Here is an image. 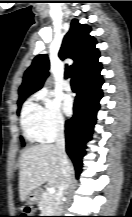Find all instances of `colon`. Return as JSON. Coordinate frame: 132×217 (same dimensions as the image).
I'll use <instances>...</instances> for the list:
<instances>
[{
  "instance_id": "1",
  "label": "colon",
  "mask_w": 132,
  "mask_h": 217,
  "mask_svg": "<svg viewBox=\"0 0 132 217\" xmlns=\"http://www.w3.org/2000/svg\"><path fill=\"white\" fill-rule=\"evenodd\" d=\"M18 217H36V216H32V213L29 209L24 210V212L18 216Z\"/></svg>"
}]
</instances>
